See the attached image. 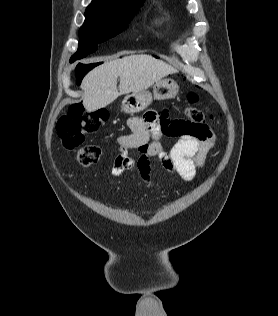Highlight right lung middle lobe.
Instances as JSON below:
<instances>
[{"instance_id": "right-lung-middle-lobe-1", "label": "right lung middle lobe", "mask_w": 278, "mask_h": 316, "mask_svg": "<svg viewBox=\"0 0 278 316\" xmlns=\"http://www.w3.org/2000/svg\"><path fill=\"white\" fill-rule=\"evenodd\" d=\"M139 5L122 7L88 6L85 22L79 30V46L70 62L81 59L94 52L99 43L122 32L139 9ZM89 68L77 70L83 76Z\"/></svg>"}]
</instances>
